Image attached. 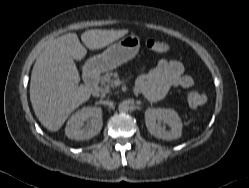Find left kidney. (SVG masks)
I'll use <instances>...</instances> for the list:
<instances>
[{"label":"left kidney","instance_id":"obj_1","mask_svg":"<svg viewBox=\"0 0 249 188\" xmlns=\"http://www.w3.org/2000/svg\"><path fill=\"white\" fill-rule=\"evenodd\" d=\"M160 122L166 123L170 130L162 129ZM145 123L148 131L156 138L174 140L181 137L182 123L173 109L148 108L145 111Z\"/></svg>","mask_w":249,"mask_h":188}]
</instances>
